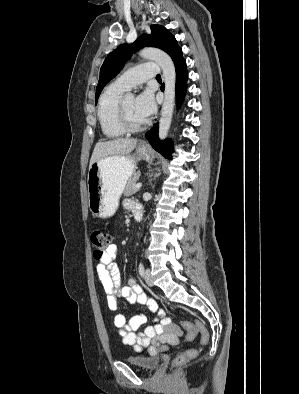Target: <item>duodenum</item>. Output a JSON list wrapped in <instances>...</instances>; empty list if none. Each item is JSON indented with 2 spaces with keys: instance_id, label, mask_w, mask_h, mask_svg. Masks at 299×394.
<instances>
[{
  "instance_id": "duodenum-1",
  "label": "duodenum",
  "mask_w": 299,
  "mask_h": 394,
  "mask_svg": "<svg viewBox=\"0 0 299 394\" xmlns=\"http://www.w3.org/2000/svg\"><path fill=\"white\" fill-rule=\"evenodd\" d=\"M142 216H143L142 211L139 208L135 209L134 211L135 220L140 221L142 219Z\"/></svg>"
}]
</instances>
